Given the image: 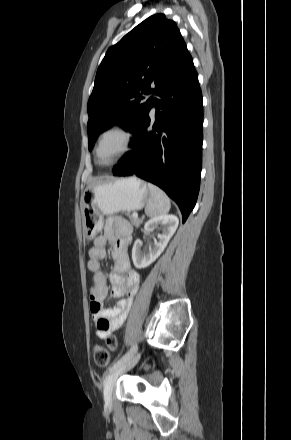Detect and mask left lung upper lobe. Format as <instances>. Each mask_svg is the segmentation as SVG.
Returning a JSON list of instances; mask_svg holds the SVG:
<instances>
[{
	"label": "left lung upper lobe",
	"instance_id": "left-lung-upper-lobe-1",
	"mask_svg": "<svg viewBox=\"0 0 291 440\" xmlns=\"http://www.w3.org/2000/svg\"><path fill=\"white\" fill-rule=\"evenodd\" d=\"M187 52L176 23L164 14L150 16L107 50L87 106L90 151L115 123L137 133L151 102L142 94L155 92Z\"/></svg>",
	"mask_w": 291,
	"mask_h": 440
}]
</instances>
